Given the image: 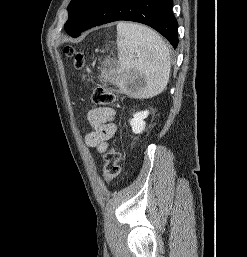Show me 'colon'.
I'll return each instance as SVG.
<instances>
[{"mask_svg":"<svg viewBox=\"0 0 247 257\" xmlns=\"http://www.w3.org/2000/svg\"><path fill=\"white\" fill-rule=\"evenodd\" d=\"M66 57L73 59L74 68L78 71H83L86 66L85 55L74 48L73 46H66L63 51ZM115 100V94L112 90L97 86L92 92V101L99 105H110ZM121 153L117 147H110L104 154L103 176L106 181L114 180L121 170Z\"/></svg>","mask_w":247,"mask_h":257,"instance_id":"obj_1","label":"colon"}]
</instances>
